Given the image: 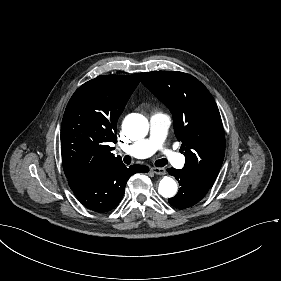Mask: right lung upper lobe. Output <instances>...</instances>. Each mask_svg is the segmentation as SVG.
Masks as SVG:
<instances>
[{
    "label": "right lung upper lobe",
    "instance_id": "1",
    "mask_svg": "<svg viewBox=\"0 0 281 281\" xmlns=\"http://www.w3.org/2000/svg\"><path fill=\"white\" fill-rule=\"evenodd\" d=\"M139 83V74L98 76L71 97L62 120L63 169L70 181L89 178L123 164L109 146L116 143V124Z\"/></svg>",
    "mask_w": 281,
    "mask_h": 281
}]
</instances>
